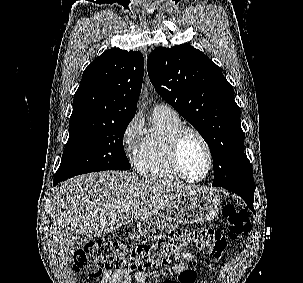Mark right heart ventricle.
Masks as SVG:
<instances>
[{
	"instance_id": "obj_1",
	"label": "right heart ventricle",
	"mask_w": 303,
	"mask_h": 283,
	"mask_svg": "<svg viewBox=\"0 0 303 283\" xmlns=\"http://www.w3.org/2000/svg\"><path fill=\"white\" fill-rule=\"evenodd\" d=\"M183 126L175 111L154 112V123L146 132L135 153L134 166L143 176L179 181L183 178L175 170L170 157V140Z\"/></svg>"
}]
</instances>
